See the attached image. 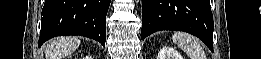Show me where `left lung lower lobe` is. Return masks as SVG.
Returning <instances> with one entry per match:
<instances>
[{
    "label": "left lung lower lobe",
    "instance_id": "obj_1",
    "mask_svg": "<svg viewBox=\"0 0 261 59\" xmlns=\"http://www.w3.org/2000/svg\"><path fill=\"white\" fill-rule=\"evenodd\" d=\"M141 39L160 30L185 31L213 51V15L209 0H142Z\"/></svg>",
    "mask_w": 261,
    "mask_h": 59
}]
</instances>
